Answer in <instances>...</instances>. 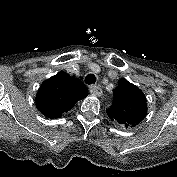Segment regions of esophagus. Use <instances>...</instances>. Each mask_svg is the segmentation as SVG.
Masks as SVG:
<instances>
[{
    "label": "esophagus",
    "instance_id": "1",
    "mask_svg": "<svg viewBox=\"0 0 177 177\" xmlns=\"http://www.w3.org/2000/svg\"><path fill=\"white\" fill-rule=\"evenodd\" d=\"M90 92L93 94V95H96V96H101L103 91L102 89L100 88V86L96 85V84H93L90 86L89 88Z\"/></svg>",
    "mask_w": 177,
    "mask_h": 177
}]
</instances>
